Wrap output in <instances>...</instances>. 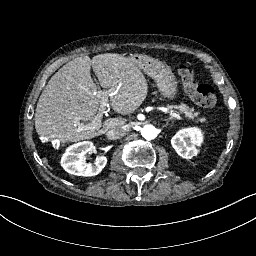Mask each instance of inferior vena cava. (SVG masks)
<instances>
[{
    "label": "inferior vena cava",
    "instance_id": "obj_1",
    "mask_svg": "<svg viewBox=\"0 0 256 256\" xmlns=\"http://www.w3.org/2000/svg\"><path fill=\"white\" fill-rule=\"evenodd\" d=\"M126 131L123 128L115 127L108 130L105 134L108 140H116L125 135Z\"/></svg>",
    "mask_w": 256,
    "mask_h": 256
}]
</instances>
